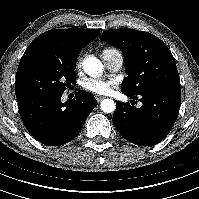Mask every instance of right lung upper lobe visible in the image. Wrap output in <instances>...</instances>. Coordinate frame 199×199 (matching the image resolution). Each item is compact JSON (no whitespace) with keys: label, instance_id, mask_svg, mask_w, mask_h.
<instances>
[{"label":"right lung upper lobe","instance_id":"right-lung-upper-lobe-1","mask_svg":"<svg viewBox=\"0 0 199 199\" xmlns=\"http://www.w3.org/2000/svg\"><path fill=\"white\" fill-rule=\"evenodd\" d=\"M99 29L69 28L49 30L39 35L27 48L25 53L41 51L61 60H76L83 47L92 42Z\"/></svg>","mask_w":199,"mask_h":199}]
</instances>
